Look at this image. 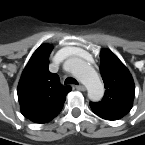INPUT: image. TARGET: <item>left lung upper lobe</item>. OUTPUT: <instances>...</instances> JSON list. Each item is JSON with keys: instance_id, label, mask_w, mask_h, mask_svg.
I'll use <instances>...</instances> for the list:
<instances>
[{"instance_id": "1", "label": "left lung upper lobe", "mask_w": 145, "mask_h": 145, "mask_svg": "<svg viewBox=\"0 0 145 145\" xmlns=\"http://www.w3.org/2000/svg\"><path fill=\"white\" fill-rule=\"evenodd\" d=\"M100 72L106 88L104 98L90 103L92 111L106 120H118L132 108L135 85L123 63L108 49L100 53Z\"/></svg>"}]
</instances>
